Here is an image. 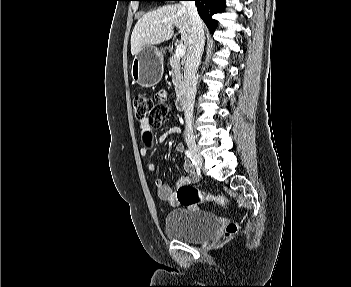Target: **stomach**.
Instances as JSON below:
<instances>
[{
    "instance_id": "stomach-1",
    "label": "stomach",
    "mask_w": 351,
    "mask_h": 287,
    "mask_svg": "<svg viewBox=\"0 0 351 287\" xmlns=\"http://www.w3.org/2000/svg\"><path fill=\"white\" fill-rule=\"evenodd\" d=\"M164 55L153 45L143 46L135 55L131 65L133 81L142 87L157 85L164 72Z\"/></svg>"
}]
</instances>
